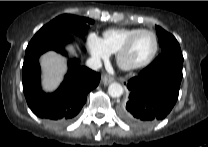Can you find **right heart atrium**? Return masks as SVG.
Instances as JSON below:
<instances>
[{"label":"right heart atrium","mask_w":208,"mask_h":147,"mask_svg":"<svg viewBox=\"0 0 208 147\" xmlns=\"http://www.w3.org/2000/svg\"><path fill=\"white\" fill-rule=\"evenodd\" d=\"M87 47L91 56L96 60H105L109 57L110 52L105 46L102 38L95 33H90L87 37Z\"/></svg>","instance_id":"d8ad5b80"}]
</instances>
